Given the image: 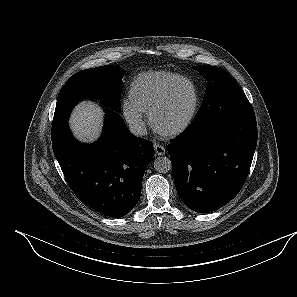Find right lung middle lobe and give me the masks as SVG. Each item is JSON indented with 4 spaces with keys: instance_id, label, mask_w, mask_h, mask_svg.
<instances>
[{
    "instance_id": "1",
    "label": "right lung middle lobe",
    "mask_w": 297,
    "mask_h": 297,
    "mask_svg": "<svg viewBox=\"0 0 297 297\" xmlns=\"http://www.w3.org/2000/svg\"><path fill=\"white\" fill-rule=\"evenodd\" d=\"M125 70L113 65L77 72L71 76L57 99L52 138L57 137L68 122L72 108L83 99H96L114 111H120L122 78Z\"/></svg>"
}]
</instances>
